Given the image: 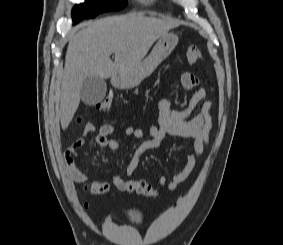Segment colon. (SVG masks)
Wrapping results in <instances>:
<instances>
[{
    "label": "colon",
    "instance_id": "1",
    "mask_svg": "<svg viewBox=\"0 0 283 245\" xmlns=\"http://www.w3.org/2000/svg\"><path fill=\"white\" fill-rule=\"evenodd\" d=\"M202 58L201 52L197 47H189L186 51V60L188 64H194L198 60ZM113 104V95L110 93L106 96V98L100 101L96 107L98 110L107 112L112 108ZM127 192H134L140 195L155 197L157 192L153 189L151 185H149L144 180H135L131 179L126 184Z\"/></svg>",
    "mask_w": 283,
    "mask_h": 245
}]
</instances>
